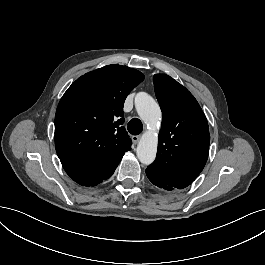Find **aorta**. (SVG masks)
I'll return each mask as SVG.
<instances>
[{
    "label": "aorta",
    "instance_id": "762f6f07",
    "mask_svg": "<svg viewBox=\"0 0 265 265\" xmlns=\"http://www.w3.org/2000/svg\"><path fill=\"white\" fill-rule=\"evenodd\" d=\"M135 105L142 121L153 128L161 118V110L155 100L147 93L139 92L135 97ZM158 147V135L151 129H147L137 145V157L144 164L154 161Z\"/></svg>",
    "mask_w": 265,
    "mask_h": 265
}]
</instances>
